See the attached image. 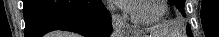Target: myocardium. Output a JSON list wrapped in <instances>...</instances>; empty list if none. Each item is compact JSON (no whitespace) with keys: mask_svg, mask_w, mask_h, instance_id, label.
I'll return each mask as SVG.
<instances>
[{"mask_svg":"<svg viewBox=\"0 0 219 37\" xmlns=\"http://www.w3.org/2000/svg\"><path fill=\"white\" fill-rule=\"evenodd\" d=\"M136 1H141V0H135L134 2H136ZM159 5H160V10H159L158 14L154 17H151V18H141V17L136 16L132 11V7H129L127 9V12L129 14V17H130L132 23H134L135 25H139V26L154 25V24L158 23L159 21H161L167 13V1L160 0Z\"/></svg>","mask_w":219,"mask_h":37,"instance_id":"myocardium-1","label":"myocardium"}]
</instances>
